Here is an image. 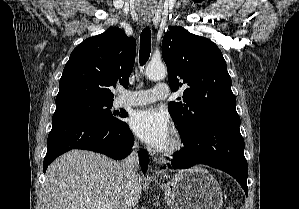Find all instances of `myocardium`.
<instances>
[{
    "mask_svg": "<svg viewBox=\"0 0 299 209\" xmlns=\"http://www.w3.org/2000/svg\"><path fill=\"white\" fill-rule=\"evenodd\" d=\"M185 147V141L183 137L178 133L174 132L166 147L160 148L158 151L159 155L163 158H173L180 154Z\"/></svg>",
    "mask_w": 299,
    "mask_h": 209,
    "instance_id": "obj_1",
    "label": "myocardium"
}]
</instances>
